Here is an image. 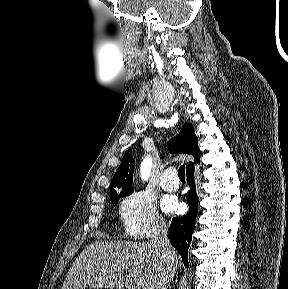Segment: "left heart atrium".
<instances>
[{"label": "left heart atrium", "mask_w": 288, "mask_h": 289, "mask_svg": "<svg viewBox=\"0 0 288 289\" xmlns=\"http://www.w3.org/2000/svg\"><path fill=\"white\" fill-rule=\"evenodd\" d=\"M165 212H176L180 209V205L174 198H166L162 203Z\"/></svg>", "instance_id": "39dd6f15"}]
</instances>
